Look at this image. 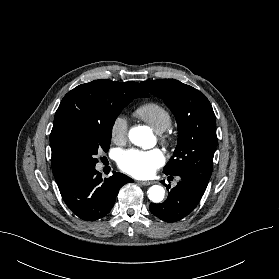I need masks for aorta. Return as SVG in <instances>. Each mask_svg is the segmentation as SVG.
I'll return each instance as SVG.
<instances>
[{
	"instance_id": "762f6f07",
	"label": "aorta",
	"mask_w": 279,
	"mask_h": 279,
	"mask_svg": "<svg viewBox=\"0 0 279 279\" xmlns=\"http://www.w3.org/2000/svg\"><path fill=\"white\" fill-rule=\"evenodd\" d=\"M129 139L137 146L148 148L151 140V133L143 126L134 127L129 132ZM148 196L154 203H159L164 199L165 190L160 185H153L148 190Z\"/></svg>"
}]
</instances>
